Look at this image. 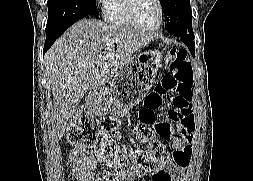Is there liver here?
Listing matches in <instances>:
<instances>
[{"mask_svg": "<svg viewBox=\"0 0 253 181\" xmlns=\"http://www.w3.org/2000/svg\"><path fill=\"white\" fill-rule=\"evenodd\" d=\"M156 34L95 19L74 23L47 51L46 76L53 93V131L60 139L88 90L104 86ZM113 53V58H105Z\"/></svg>", "mask_w": 253, "mask_h": 181, "instance_id": "liver-1", "label": "liver"}]
</instances>
